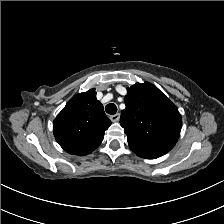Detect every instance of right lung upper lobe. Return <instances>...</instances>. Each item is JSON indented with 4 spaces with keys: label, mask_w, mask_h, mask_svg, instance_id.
Returning <instances> with one entry per match:
<instances>
[{
    "label": "right lung upper lobe",
    "mask_w": 224,
    "mask_h": 224,
    "mask_svg": "<svg viewBox=\"0 0 224 224\" xmlns=\"http://www.w3.org/2000/svg\"><path fill=\"white\" fill-rule=\"evenodd\" d=\"M110 125L95 89H90L66 104L54 120L53 132L59 144H71L77 155H87L101 144Z\"/></svg>",
    "instance_id": "1"
}]
</instances>
